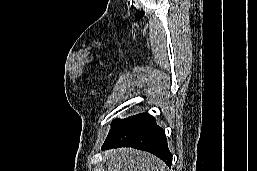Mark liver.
<instances>
[{
  "mask_svg": "<svg viewBox=\"0 0 257 171\" xmlns=\"http://www.w3.org/2000/svg\"><path fill=\"white\" fill-rule=\"evenodd\" d=\"M106 171H169L156 156L136 149L120 148L105 154Z\"/></svg>",
  "mask_w": 257,
  "mask_h": 171,
  "instance_id": "6515ba94",
  "label": "liver"
}]
</instances>
